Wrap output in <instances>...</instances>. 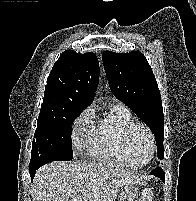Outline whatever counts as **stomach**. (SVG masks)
<instances>
[{"mask_svg": "<svg viewBox=\"0 0 196 201\" xmlns=\"http://www.w3.org/2000/svg\"><path fill=\"white\" fill-rule=\"evenodd\" d=\"M137 188L132 184H127L120 188L118 201H137Z\"/></svg>", "mask_w": 196, "mask_h": 201, "instance_id": "obj_1", "label": "stomach"}]
</instances>
